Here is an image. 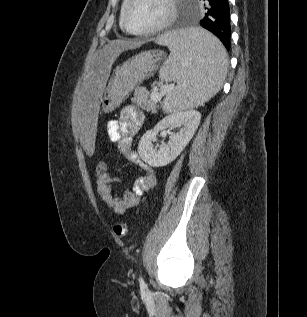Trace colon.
I'll return each mask as SVG.
<instances>
[{"instance_id":"colon-1","label":"colon","mask_w":307,"mask_h":317,"mask_svg":"<svg viewBox=\"0 0 307 317\" xmlns=\"http://www.w3.org/2000/svg\"><path fill=\"white\" fill-rule=\"evenodd\" d=\"M95 172L99 176L107 172V164L105 161H98L95 165ZM113 232L118 238H123L127 235L128 226L125 222H118L113 227Z\"/></svg>"}]
</instances>
